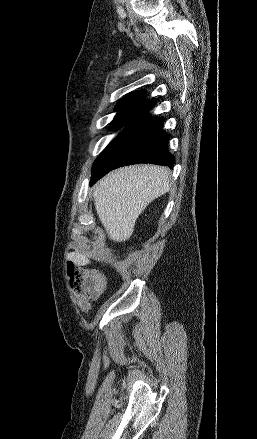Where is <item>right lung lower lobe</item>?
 Wrapping results in <instances>:
<instances>
[{
  "mask_svg": "<svg viewBox=\"0 0 257 439\" xmlns=\"http://www.w3.org/2000/svg\"><path fill=\"white\" fill-rule=\"evenodd\" d=\"M150 110L127 122L126 129L98 156L90 186L109 171L125 165L151 163L173 168L175 158L167 149L169 135L162 130L163 119L149 117Z\"/></svg>",
  "mask_w": 257,
  "mask_h": 439,
  "instance_id": "obj_1",
  "label": "right lung lower lobe"
}]
</instances>
